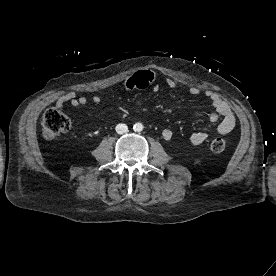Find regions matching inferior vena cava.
Listing matches in <instances>:
<instances>
[{
  "mask_svg": "<svg viewBox=\"0 0 276 276\" xmlns=\"http://www.w3.org/2000/svg\"><path fill=\"white\" fill-rule=\"evenodd\" d=\"M128 131V127L126 124L120 123L116 126V132L118 134H123L126 133Z\"/></svg>",
  "mask_w": 276,
  "mask_h": 276,
  "instance_id": "602c4592",
  "label": "inferior vena cava"
}]
</instances>
